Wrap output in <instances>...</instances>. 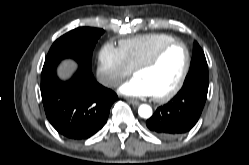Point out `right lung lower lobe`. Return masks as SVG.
<instances>
[{
  "label": "right lung lower lobe",
  "instance_id": "98d812e1",
  "mask_svg": "<svg viewBox=\"0 0 249 165\" xmlns=\"http://www.w3.org/2000/svg\"><path fill=\"white\" fill-rule=\"evenodd\" d=\"M59 61L45 62L41 74V96L52 126L70 139H87L106 123L117 95L103 87L83 67L69 81L56 76Z\"/></svg>",
  "mask_w": 249,
  "mask_h": 165
}]
</instances>
